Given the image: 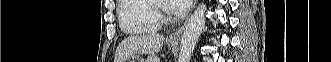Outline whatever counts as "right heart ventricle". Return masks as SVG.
Wrapping results in <instances>:
<instances>
[{
	"label": "right heart ventricle",
	"mask_w": 331,
	"mask_h": 62,
	"mask_svg": "<svg viewBox=\"0 0 331 62\" xmlns=\"http://www.w3.org/2000/svg\"><path fill=\"white\" fill-rule=\"evenodd\" d=\"M117 16L120 28L126 34L153 33L158 29L151 4L147 0H120Z\"/></svg>",
	"instance_id": "1"
}]
</instances>
